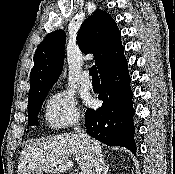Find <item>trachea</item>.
Returning <instances> with one entry per match:
<instances>
[{
    "label": "trachea",
    "instance_id": "trachea-1",
    "mask_svg": "<svg viewBox=\"0 0 175 174\" xmlns=\"http://www.w3.org/2000/svg\"><path fill=\"white\" fill-rule=\"evenodd\" d=\"M89 75L92 76V80H99L97 68L95 65L90 68Z\"/></svg>",
    "mask_w": 175,
    "mask_h": 174
}]
</instances>
